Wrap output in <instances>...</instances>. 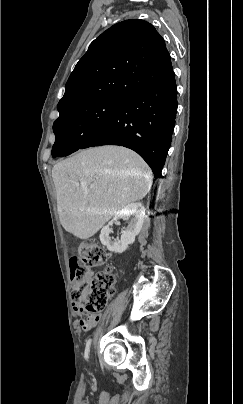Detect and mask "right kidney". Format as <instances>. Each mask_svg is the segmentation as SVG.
<instances>
[{"instance_id":"obj_1","label":"right kidney","mask_w":243,"mask_h":404,"mask_svg":"<svg viewBox=\"0 0 243 404\" xmlns=\"http://www.w3.org/2000/svg\"><path fill=\"white\" fill-rule=\"evenodd\" d=\"M145 216V208L140 204V202H136V204H128L126 208L123 210H118L115 212L114 222L117 220H121V218H126V220H130L129 226L124 228L121 232V240L119 242H112L109 238L110 232H112L113 222H109L108 226H104L101 230V234L99 236L101 244L108 248L109 252H115V254H122L127 250L129 244H133L135 242L136 236H138L142 224L144 222Z\"/></svg>"}]
</instances>
